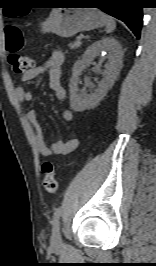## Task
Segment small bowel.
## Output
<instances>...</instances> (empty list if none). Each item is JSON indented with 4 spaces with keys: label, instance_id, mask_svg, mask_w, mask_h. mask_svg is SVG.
Here are the masks:
<instances>
[{
    "label": "small bowel",
    "instance_id": "1",
    "mask_svg": "<svg viewBox=\"0 0 156 266\" xmlns=\"http://www.w3.org/2000/svg\"><path fill=\"white\" fill-rule=\"evenodd\" d=\"M64 60V55L61 51H54L50 57H48L42 65L33 67L25 71L22 75V81H30L37 78L43 73L49 74V85L51 90L54 92L55 96L63 100L66 97V91L62 84V63ZM15 96L20 103L31 102L33 99L32 92L23 86L16 88ZM28 118L34 127L36 133V146L38 151L46 157L53 155L66 156L71 154L79 145L77 139H71L67 142H56L52 144H47L45 141V135L43 129L38 121L36 111L30 109L28 111ZM62 118L65 121H71L73 118V113L68 107L62 109Z\"/></svg>",
    "mask_w": 156,
    "mask_h": 266
}]
</instances>
